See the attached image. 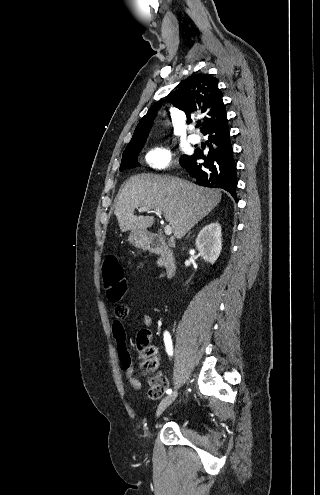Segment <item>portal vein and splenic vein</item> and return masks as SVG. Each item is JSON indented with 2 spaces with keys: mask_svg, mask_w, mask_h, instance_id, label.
<instances>
[{
  "mask_svg": "<svg viewBox=\"0 0 320 495\" xmlns=\"http://www.w3.org/2000/svg\"><path fill=\"white\" fill-rule=\"evenodd\" d=\"M151 208L149 207H141L139 208V211L140 212H144V211H150ZM153 211V209H152ZM154 212L161 217L162 215V212L159 210V209H154ZM164 232L166 235H170L172 233V227L170 225H166L165 228H164Z\"/></svg>",
  "mask_w": 320,
  "mask_h": 495,
  "instance_id": "1",
  "label": "portal vein and splenic vein"
}]
</instances>
